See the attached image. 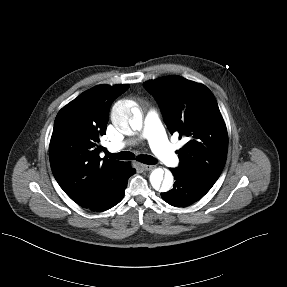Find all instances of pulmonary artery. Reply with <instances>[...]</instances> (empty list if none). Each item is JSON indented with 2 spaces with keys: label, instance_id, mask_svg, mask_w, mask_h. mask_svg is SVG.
<instances>
[{
  "label": "pulmonary artery",
  "instance_id": "obj_1",
  "mask_svg": "<svg viewBox=\"0 0 287 287\" xmlns=\"http://www.w3.org/2000/svg\"><path fill=\"white\" fill-rule=\"evenodd\" d=\"M141 137L149 141L153 152L164 164L170 167L178 165L179 158L165 136L156 111L151 110L147 113ZM126 144V142L112 143L109 145V149L111 151H118L124 148Z\"/></svg>",
  "mask_w": 287,
  "mask_h": 287
}]
</instances>
